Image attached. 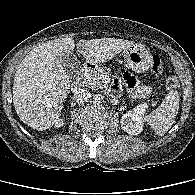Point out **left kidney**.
<instances>
[{
    "instance_id": "left-kidney-1",
    "label": "left kidney",
    "mask_w": 195,
    "mask_h": 195,
    "mask_svg": "<svg viewBox=\"0 0 195 195\" xmlns=\"http://www.w3.org/2000/svg\"><path fill=\"white\" fill-rule=\"evenodd\" d=\"M147 107L148 105L143 103L123 114L120 121L122 129L130 135L140 134L143 130L144 114Z\"/></svg>"
}]
</instances>
